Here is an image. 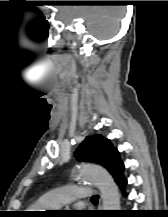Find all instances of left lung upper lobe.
Instances as JSON below:
<instances>
[{"label":"left lung upper lobe","instance_id":"1","mask_svg":"<svg viewBox=\"0 0 168 217\" xmlns=\"http://www.w3.org/2000/svg\"><path fill=\"white\" fill-rule=\"evenodd\" d=\"M75 155L80 161H91L104 166L115 180L123 174L124 164L118 150L109 139L101 135L87 136L76 149Z\"/></svg>","mask_w":168,"mask_h":217}]
</instances>
